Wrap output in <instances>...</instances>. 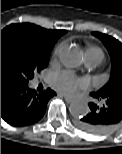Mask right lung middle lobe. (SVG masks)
<instances>
[{"label":"right lung middle lobe","mask_w":122,"mask_h":154,"mask_svg":"<svg viewBox=\"0 0 122 154\" xmlns=\"http://www.w3.org/2000/svg\"><path fill=\"white\" fill-rule=\"evenodd\" d=\"M51 48L34 42L18 25L1 31V85H28L36 72L46 68Z\"/></svg>","instance_id":"right-lung-middle-lobe-1"}]
</instances>
